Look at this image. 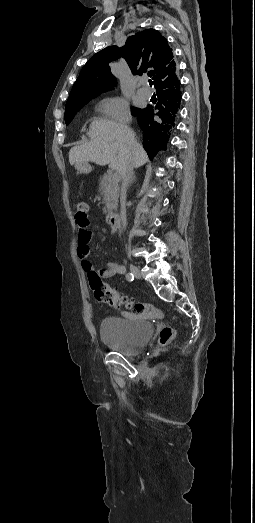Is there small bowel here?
Wrapping results in <instances>:
<instances>
[{
    "instance_id": "c3829d8e",
    "label": "small bowel",
    "mask_w": 255,
    "mask_h": 523,
    "mask_svg": "<svg viewBox=\"0 0 255 523\" xmlns=\"http://www.w3.org/2000/svg\"><path fill=\"white\" fill-rule=\"evenodd\" d=\"M99 231L102 235V241L95 246L96 249H102L108 240L105 228L100 227ZM91 240L92 232L90 231L89 226H79L77 256L81 261L82 268L88 273L96 272L89 260ZM125 271L126 269L122 264L108 262L107 267L103 270H100L98 273L103 277L109 278L117 274H124Z\"/></svg>"
}]
</instances>
